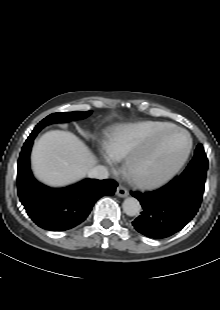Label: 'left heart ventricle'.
I'll use <instances>...</instances> for the list:
<instances>
[{
    "instance_id": "obj_1",
    "label": "left heart ventricle",
    "mask_w": 220,
    "mask_h": 310,
    "mask_svg": "<svg viewBox=\"0 0 220 310\" xmlns=\"http://www.w3.org/2000/svg\"><path fill=\"white\" fill-rule=\"evenodd\" d=\"M187 137L170 131L157 142L155 149L138 160V167L147 177H159L169 171L182 157L187 147Z\"/></svg>"
}]
</instances>
